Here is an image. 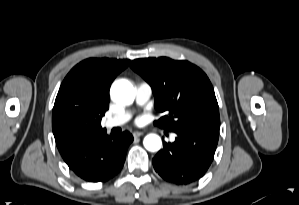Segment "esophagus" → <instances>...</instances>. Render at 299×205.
Segmentation results:
<instances>
[{"label":"esophagus","instance_id":"obj_1","mask_svg":"<svg viewBox=\"0 0 299 205\" xmlns=\"http://www.w3.org/2000/svg\"><path fill=\"white\" fill-rule=\"evenodd\" d=\"M142 135H143V133L142 132H138V131H136V132L133 133L134 138H138V137H140Z\"/></svg>","mask_w":299,"mask_h":205}]
</instances>
